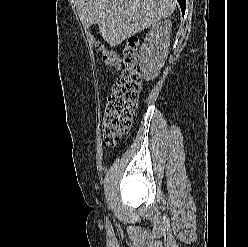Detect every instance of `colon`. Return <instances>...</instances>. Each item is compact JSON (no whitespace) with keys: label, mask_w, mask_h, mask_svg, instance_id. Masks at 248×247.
<instances>
[{"label":"colon","mask_w":248,"mask_h":247,"mask_svg":"<svg viewBox=\"0 0 248 247\" xmlns=\"http://www.w3.org/2000/svg\"><path fill=\"white\" fill-rule=\"evenodd\" d=\"M99 49L109 67L113 69L120 67V59L113 51L103 45ZM123 63L125 69L114 84L103 112V139L110 147L116 146L129 131L136 115L142 82L136 37L128 39L124 48Z\"/></svg>","instance_id":"obj_1"}]
</instances>
